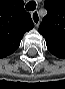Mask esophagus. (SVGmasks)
<instances>
[{
    "label": "esophagus",
    "instance_id": "obj_1",
    "mask_svg": "<svg viewBox=\"0 0 65 89\" xmlns=\"http://www.w3.org/2000/svg\"><path fill=\"white\" fill-rule=\"evenodd\" d=\"M31 17H32V20H33L34 24H35L36 26H38L39 23H40V16H39L38 11H36V10L33 11V12L31 13Z\"/></svg>",
    "mask_w": 65,
    "mask_h": 89
}]
</instances>
